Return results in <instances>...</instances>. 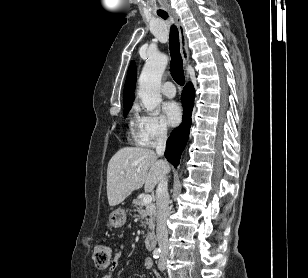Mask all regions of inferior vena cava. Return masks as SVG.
I'll return each mask as SVG.
<instances>
[{
	"label": "inferior vena cava",
	"mask_w": 308,
	"mask_h": 278,
	"mask_svg": "<svg viewBox=\"0 0 308 278\" xmlns=\"http://www.w3.org/2000/svg\"><path fill=\"white\" fill-rule=\"evenodd\" d=\"M167 141V130L160 129L156 137V153L158 156H163ZM156 207H157V240L158 246L162 254L168 253V231L167 219L170 214L169 209V193L168 179L164 175L160 180L156 189Z\"/></svg>",
	"instance_id": "602c4592"
}]
</instances>
